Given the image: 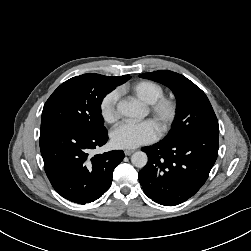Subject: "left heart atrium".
<instances>
[{
	"label": "left heart atrium",
	"mask_w": 251,
	"mask_h": 251,
	"mask_svg": "<svg viewBox=\"0 0 251 251\" xmlns=\"http://www.w3.org/2000/svg\"><path fill=\"white\" fill-rule=\"evenodd\" d=\"M157 135L158 127L151 120L123 122L111 132V141L117 148L133 149L155 140Z\"/></svg>",
	"instance_id": "obj_1"
}]
</instances>
